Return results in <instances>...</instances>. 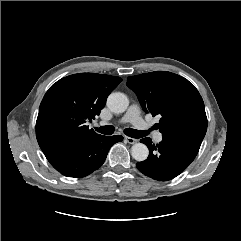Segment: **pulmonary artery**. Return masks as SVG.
<instances>
[{
  "mask_svg": "<svg viewBox=\"0 0 241 241\" xmlns=\"http://www.w3.org/2000/svg\"><path fill=\"white\" fill-rule=\"evenodd\" d=\"M120 123H132L137 129H148V124L141 117L140 109L137 105H131L126 114L119 121ZM153 138L156 142H161L163 136L160 132H155Z\"/></svg>",
  "mask_w": 241,
  "mask_h": 241,
  "instance_id": "pulmonary-artery-1",
  "label": "pulmonary artery"
}]
</instances>
